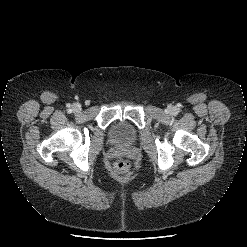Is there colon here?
<instances>
[{
	"label": "colon",
	"mask_w": 247,
	"mask_h": 247,
	"mask_svg": "<svg viewBox=\"0 0 247 247\" xmlns=\"http://www.w3.org/2000/svg\"><path fill=\"white\" fill-rule=\"evenodd\" d=\"M130 170V163L127 160H119L115 164V171L117 174L125 175Z\"/></svg>",
	"instance_id": "colon-1"
}]
</instances>
